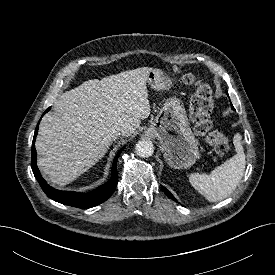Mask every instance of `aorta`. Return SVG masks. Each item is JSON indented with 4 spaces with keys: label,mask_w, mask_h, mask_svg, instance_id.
<instances>
[{
    "label": "aorta",
    "mask_w": 275,
    "mask_h": 275,
    "mask_svg": "<svg viewBox=\"0 0 275 275\" xmlns=\"http://www.w3.org/2000/svg\"><path fill=\"white\" fill-rule=\"evenodd\" d=\"M135 151L139 157L147 158L154 152L153 143L149 140H140L135 146Z\"/></svg>",
    "instance_id": "aorta-1"
}]
</instances>
